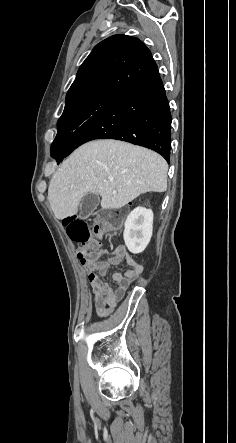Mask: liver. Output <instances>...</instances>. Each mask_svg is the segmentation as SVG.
I'll use <instances>...</instances> for the list:
<instances>
[{"label": "liver", "instance_id": "liver-1", "mask_svg": "<svg viewBox=\"0 0 236 443\" xmlns=\"http://www.w3.org/2000/svg\"><path fill=\"white\" fill-rule=\"evenodd\" d=\"M167 171V162L152 150L117 140H96L64 160L51 178L48 200L60 220L77 214L89 192L102 197V208L118 209L140 194L166 191Z\"/></svg>", "mask_w": 236, "mask_h": 443}]
</instances>
